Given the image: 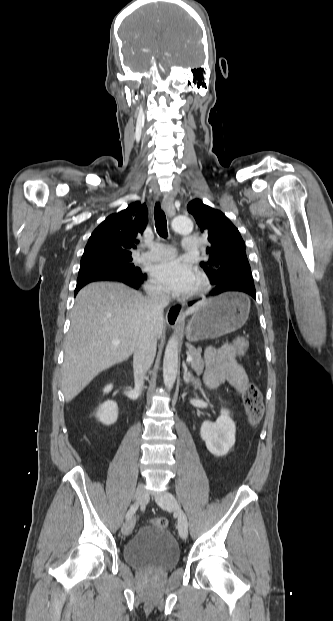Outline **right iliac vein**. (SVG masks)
<instances>
[{"label": "right iliac vein", "instance_id": "1", "mask_svg": "<svg viewBox=\"0 0 333 621\" xmlns=\"http://www.w3.org/2000/svg\"><path fill=\"white\" fill-rule=\"evenodd\" d=\"M135 499L137 502L142 503L146 499V491L144 488V484L140 483L135 492ZM135 526L134 517L128 519L122 526V532L124 535H129Z\"/></svg>", "mask_w": 333, "mask_h": 621}]
</instances>
